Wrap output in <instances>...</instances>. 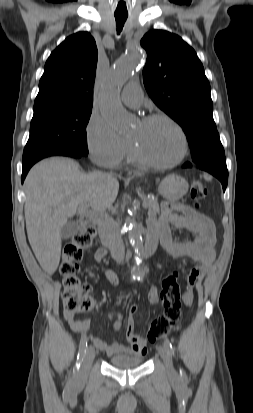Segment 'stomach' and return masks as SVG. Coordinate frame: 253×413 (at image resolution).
Returning <instances> with one entry per match:
<instances>
[{
  "mask_svg": "<svg viewBox=\"0 0 253 413\" xmlns=\"http://www.w3.org/2000/svg\"><path fill=\"white\" fill-rule=\"evenodd\" d=\"M188 188V182L184 178L171 174L160 182L158 192L169 201H177L187 193Z\"/></svg>",
  "mask_w": 253,
  "mask_h": 413,
  "instance_id": "0dacf381",
  "label": "stomach"
}]
</instances>
